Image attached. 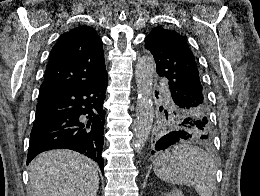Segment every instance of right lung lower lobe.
<instances>
[{
    "instance_id": "1",
    "label": "right lung lower lobe",
    "mask_w": 260,
    "mask_h": 196,
    "mask_svg": "<svg viewBox=\"0 0 260 196\" xmlns=\"http://www.w3.org/2000/svg\"><path fill=\"white\" fill-rule=\"evenodd\" d=\"M107 77L70 88L38 101L27 155V164L39 153L66 148L95 160L104 173L102 147Z\"/></svg>"
}]
</instances>
